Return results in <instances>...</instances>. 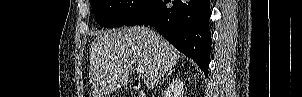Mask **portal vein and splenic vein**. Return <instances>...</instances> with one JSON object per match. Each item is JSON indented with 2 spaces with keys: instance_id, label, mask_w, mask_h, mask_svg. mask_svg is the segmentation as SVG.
<instances>
[{
  "instance_id": "18ae733b",
  "label": "portal vein and splenic vein",
  "mask_w": 302,
  "mask_h": 97,
  "mask_svg": "<svg viewBox=\"0 0 302 97\" xmlns=\"http://www.w3.org/2000/svg\"><path fill=\"white\" fill-rule=\"evenodd\" d=\"M135 70L140 75H142L144 73V67H143V65L135 64Z\"/></svg>"
}]
</instances>
